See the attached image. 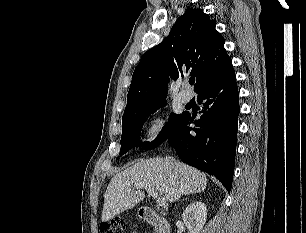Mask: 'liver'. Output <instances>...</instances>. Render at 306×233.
<instances>
[{"label": "liver", "mask_w": 306, "mask_h": 233, "mask_svg": "<svg viewBox=\"0 0 306 233\" xmlns=\"http://www.w3.org/2000/svg\"><path fill=\"white\" fill-rule=\"evenodd\" d=\"M137 184H147L167 201L174 202L181 195L205 190L207 178L205 173L175 160H141L111 179L104 196L102 222L133 208L144 199L143 191L134 190Z\"/></svg>", "instance_id": "obj_1"}]
</instances>
